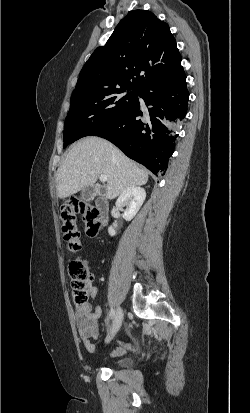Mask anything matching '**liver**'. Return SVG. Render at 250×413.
I'll return each instance as SVG.
<instances>
[{
    "label": "liver",
    "instance_id": "1",
    "mask_svg": "<svg viewBox=\"0 0 250 413\" xmlns=\"http://www.w3.org/2000/svg\"><path fill=\"white\" fill-rule=\"evenodd\" d=\"M101 175L107 177V199H114L128 187L145 185L148 181V172L116 146L103 138L88 136L71 148L58 168L57 196L65 199L93 186Z\"/></svg>",
    "mask_w": 250,
    "mask_h": 413
}]
</instances>
